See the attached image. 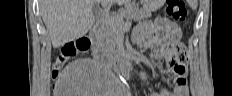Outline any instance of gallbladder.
<instances>
[{"label":"gallbladder","instance_id":"bac80fb5","mask_svg":"<svg viewBox=\"0 0 232 96\" xmlns=\"http://www.w3.org/2000/svg\"><path fill=\"white\" fill-rule=\"evenodd\" d=\"M93 15H94L95 21H98L99 16H100V8L96 4L93 6Z\"/></svg>","mask_w":232,"mask_h":96}]
</instances>
